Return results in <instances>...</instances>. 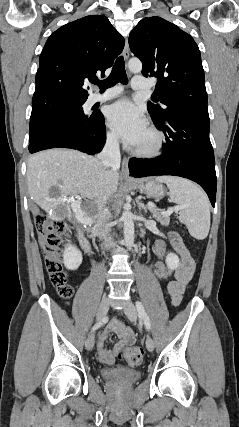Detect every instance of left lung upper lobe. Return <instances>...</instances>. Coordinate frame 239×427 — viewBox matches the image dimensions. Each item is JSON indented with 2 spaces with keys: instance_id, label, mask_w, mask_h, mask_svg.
<instances>
[{
  "instance_id": "5c2ea615",
  "label": "left lung upper lobe",
  "mask_w": 239,
  "mask_h": 427,
  "mask_svg": "<svg viewBox=\"0 0 239 427\" xmlns=\"http://www.w3.org/2000/svg\"><path fill=\"white\" fill-rule=\"evenodd\" d=\"M129 45L142 61V74L158 79L155 102L166 108L148 102L154 120L162 121L173 112L209 117L201 55L189 34L154 16L137 24L130 33Z\"/></svg>"
}]
</instances>
